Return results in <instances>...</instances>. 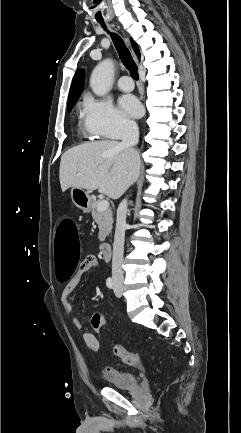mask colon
Segmentation results:
<instances>
[{
	"instance_id": "obj_1",
	"label": "colon",
	"mask_w": 241,
	"mask_h": 433,
	"mask_svg": "<svg viewBox=\"0 0 241 433\" xmlns=\"http://www.w3.org/2000/svg\"><path fill=\"white\" fill-rule=\"evenodd\" d=\"M78 226L76 220H59L58 225H54L52 230V249L55 261L54 267L57 270V278L60 282L70 279L72 271L78 264L79 239ZM102 318L96 313L90 320L93 329L101 328ZM114 354L123 362L130 365L140 364L139 352H127L121 345L116 344L113 348ZM105 373H110L107 370Z\"/></svg>"
}]
</instances>
